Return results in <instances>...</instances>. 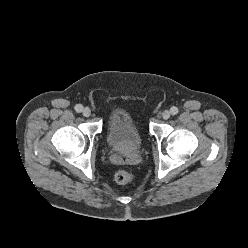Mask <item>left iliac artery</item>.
Listing matches in <instances>:
<instances>
[{
  "label": "left iliac artery",
  "mask_w": 248,
  "mask_h": 248,
  "mask_svg": "<svg viewBox=\"0 0 248 248\" xmlns=\"http://www.w3.org/2000/svg\"><path fill=\"white\" fill-rule=\"evenodd\" d=\"M170 111H171L172 115H176L178 113V108L173 106V107H171Z\"/></svg>",
  "instance_id": "44dca946"
}]
</instances>
